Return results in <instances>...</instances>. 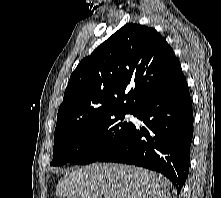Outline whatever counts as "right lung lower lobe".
<instances>
[{
	"instance_id": "1",
	"label": "right lung lower lobe",
	"mask_w": 221,
	"mask_h": 198,
	"mask_svg": "<svg viewBox=\"0 0 221 198\" xmlns=\"http://www.w3.org/2000/svg\"><path fill=\"white\" fill-rule=\"evenodd\" d=\"M145 127L127 135L97 161L142 166L168 177L179 194L189 173L193 110L186 79L180 74L134 113Z\"/></svg>"
}]
</instances>
